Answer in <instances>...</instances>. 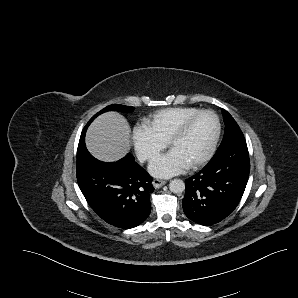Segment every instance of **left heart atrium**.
<instances>
[{"mask_svg":"<svg viewBox=\"0 0 298 298\" xmlns=\"http://www.w3.org/2000/svg\"><path fill=\"white\" fill-rule=\"evenodd\" d=\"M188 165L171 150L153 157L149 163V171L159 178H169L182 173Z\"/></svg>","mask_w":298,"mask_h":298,"instance_id":"obj_1","label":"left heart atrium"}]
</instances>
